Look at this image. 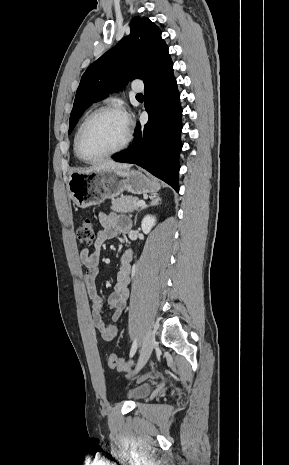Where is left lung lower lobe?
Masks as SVG:
<instances>
[{
  "instance_id": "left-lung-lower-lobe-1",
  "label": "left lung lower lobe",
  "mask_w": 289,
  "mask_h": 465,
  "mask_svg": "<svg viewBox=\"0 0 289 465\" xmlns=\"http://www.w3.org/2000/svg\"><path fill=\"white\" fill-rule=\"evenodd\" d=\"M144 94L149 120L144 127L138 124L135 128L132 146L112 158L141 166L178 192L182 108L173 71L145 85Z\"/></svg>"
}]
</instances>
